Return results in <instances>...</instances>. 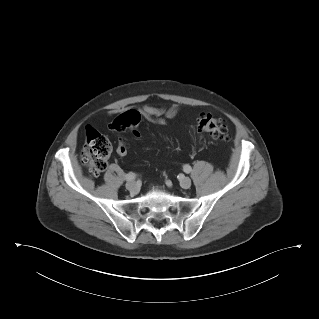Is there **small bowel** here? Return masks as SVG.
<instances>
[{
  "instance_id": "c3829d8e",
  "label": "small bowel",
  "mask_w": 319,
  "mask_h": 319,
  "mask_svg": "<svg viewBox=\"0 0 319 319\" xmlns=\"http://www.w3.org/2000/svg\"><path fill=\"white\" fill-rule=\"evenodd\" d=\"M141 113L144 118L155 125L165 126L167 125L169 119L176 116L178 113V107L176 105H171L167 107H159L152 105H145L141 109ZM127 145L124 142H120L117 146V153L120 156H125L127 153Z\"/></svg>"
}]
</instances>
